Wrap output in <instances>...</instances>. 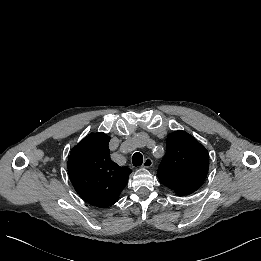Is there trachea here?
<instances>
[{"mask_svg": "<svg viewBox=\"0 0 261 261\" xmlns=\"http://www.w3.org/2000/svg\"><path fill=\"white\" fill-rule=\"evenodd\" d=\"M132 163L135 167L140 166L143 163V156L140 152H136L133 156H132Z\"/></svg>", "mask_w": 261, "mask_h": 261, "instance_id": "1", "label": "trachea"}]
</instances>
